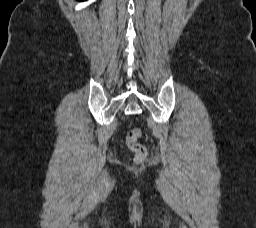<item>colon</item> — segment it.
<instances>
[{
    "label": "colon",
    "mask_w": 256,
    "mask_h": 228,
    "mask_svg": "<svg viewBox=\"0 0 256 228\" xmlns=\"http://www.w3.org/2000/svg\"><path fill=\"white\" fill-rule=\"evenodd\" d=\"M142 132L139 128H134L127 133L126 144L128 148L134 153V160L141 163L147 156L146 147L140 143Z\"/></svg>",
    "instance_id": "5ec220e1"
}]
</instances>
